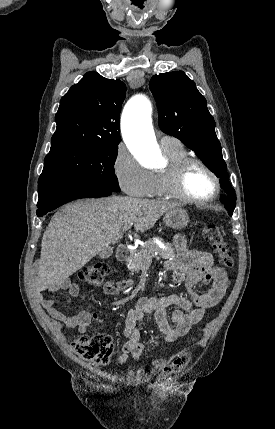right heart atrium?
I'll return each instance as SVG.
<instances>
[{
    "label": "right heart atrium",
    "instance_id": "1",
    "mask_svg": "<svg viewBox=\"0 0 275 429\" xmlns=\"http://www.w3.org/2000/svg\"><path fill=\"white\" fill-rule=\"evenodd\" d=\"M113 171L121 189L134 197L147 196L152 187V173L144 168L124 145H119Z\"/></svg>",
    "mask_w": 275,
    "mask_h": 429
}]
</instances>
